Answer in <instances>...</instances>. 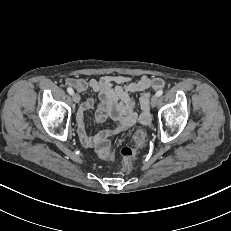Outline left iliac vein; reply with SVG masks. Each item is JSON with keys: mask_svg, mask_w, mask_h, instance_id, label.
Masks as SVG:
<instances>
[{"mask_svg": "<svg viewBox=\"0 0 231 231\" xmlns=\"http://www.w3.org/2000/svg\"><path fill=\"white\" fill-rule=\"evenodd\" d=\"M158 103V96L157 95H153L151 98V106L155 107Z\"/></svg>", "mask_w": 231, "mask_h": 231, "instance_id": "1", "label": "left iliac vein"}]
</instances>
